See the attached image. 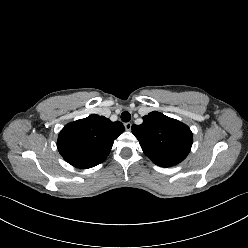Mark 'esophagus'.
<instances>
[{"label": "esophagus", "instance_id": "34e87169", "mask_svg": "<svg viewBox=\"0 0 248 248\" xmlns=\"http://www.w3.org/2000/svg\"><path fill=\"white\" fill-rule=\"evenodd\" d=\"M131 126H132V124H131L130 122L124 123V127H125V129H126L127 131L131 130Z\"/></svg>", "mask_w": 248, "mask_h": 248}]
</instances>
